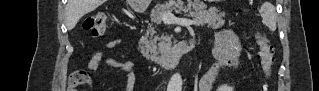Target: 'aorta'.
Here are the masks:
<instances>
[{
  "label": "aorta",
  "mask_w": 319,
  "mask_h": 91,
  "mask_svg": "<svg viewBox=\"0 0 319 91\" xmlns=\"http://www.w3.org/2000/svg\"><path fill=\"white\" fill-rule=\"evenodd\" d=\"M168 89L170 91H181L182 89V77L179 73H175L169 83H168Z\"/></svg>",
  "instance_id": "762f6f07"
}]
</instances>
